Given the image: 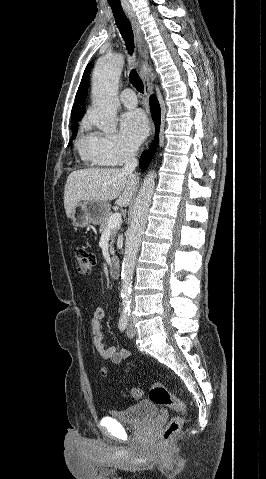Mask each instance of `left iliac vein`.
<instances>
[{"instance_id": "obj_1", "label": "left iliac vein", "mask_w": 266, "mask_h": 479, "mask_svg": "<svg viewBox=\"0 0 266 479\" xmlns=\"http://www.w3.org/2000/svg\"><path fill=\"white\" fill-rule=\"evenodd\" d=\"M126 334L129 338H133L136 335V329L132 324H129Z\"/></svg>"}]
</instances>
